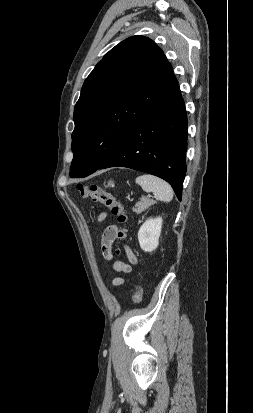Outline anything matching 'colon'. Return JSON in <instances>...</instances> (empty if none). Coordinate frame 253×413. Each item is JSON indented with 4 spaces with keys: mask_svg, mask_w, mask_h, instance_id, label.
Wrapping results in <instances>:
<instances>
[{
    "mask_svg": "<svg viewBox=\"0 0 253 413\" xmlns=\"http://www.w3.org/2000/svg\"><path fill=\"white\" fill-rule=\"evenodd\" d=\"M76 189L79 194L84 198H90L94 202H98L107 207L111 213L116 216L117 221L122 225L117 231L116 237L118 240H124L127 237L128 229V215L124 208V205L110 192L104 190L97 185H85L78 183ZM115 253L120 254V250L116 249ZM133 301L135 304H139L143 298V291L139 284H134L133 287Z\"/></svg>",
    "mask_w": 253,
    "mask_h": 413,
    "instance_id": "1",
    "label": "colon"
}]
</instances>
